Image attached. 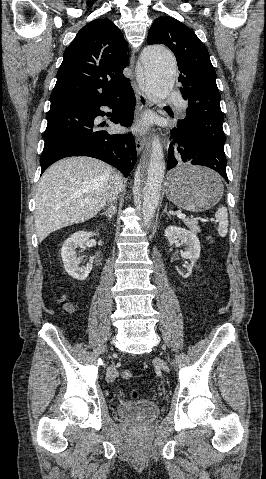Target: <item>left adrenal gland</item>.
<instances>
[{
  "label": "left adrenal gland",
  "instance_id": "a2214340",
  "mask_svg": "<svg viewBox=\"0 0 266 479\" xmlns=\"http://www.w3.org/2000/svg\"><path fill=\"white\" fill-rule=\"evenodd\" d=\"M163 213H166L169 218L171 217V214H170V213L168 212V210H167V206H165V208H164V210H163Z\"/></svg>",
  "mask_w": 266,
  "mask_h": 479
}]
</instances>
